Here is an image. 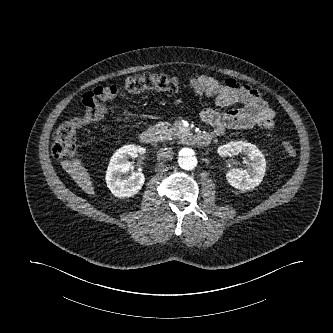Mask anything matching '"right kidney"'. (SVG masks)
<instances>
[{"instance_id":"right-kidney-1","label":"right kidney","mask_w":333,"mask_h":333,"mask_svg":"<svg viewBox=\"0 0 333 333\" xmlns=\"http://www.w3.org/2000/svg\"><path fill=\"white\" fill-rule=\"evenodd\" d=\"M145 148L135 145H126L118 149L111 157L107 171L106 183L115 197H131L137 194L145 181L142 172H133L129 177H123V174L130 170L128 157H136L137 153L144 154Z\"/></svg>"}]
</instances>
